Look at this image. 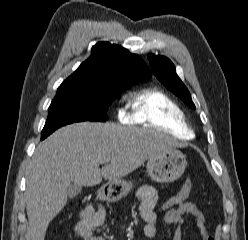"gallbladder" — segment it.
Wrapping results in <instances>:
<instances>
[{"instance_id": "gallbladder-1", "label": "gallbladder", "mask_w": 248, "mask_h": 240, "mask_svg": "<svg viewBox=\"0 0 248 240\" xmlns=\"http://www.w3.org/2000/svg\"><path fill=\"white\" fill-rule=\"evenodd\" d=\"M82 187L77 184L70 185L67 190V195L69 198H74L81 193Z\"/></svg>"}]
</instances>
